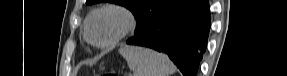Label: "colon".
Wrapping results in <instances>:
<instances>
[{
    "instance_id": "5ec220e1",
    "label": "colon",
    "mask_w": 287,
    "mask_h": 76,
    "mask_svg": "<svg viewBox=\"0 0 287 76\" xmlns=\"http://www.w3.org/2000/svg\"><path fill=\"white\" fill-rule=\"evenodd\" d=\"M106 76H117V74L114 73V72H110V73H108Z\"/></svg>"
}]
</instances>
